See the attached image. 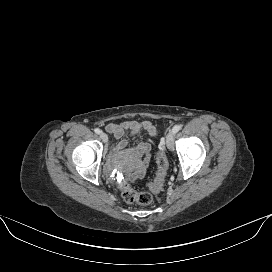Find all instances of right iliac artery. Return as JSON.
Returning a JSON list of instances; mask_svg holds the SVG:
<instances>
[{"instance_id": "82829eb1", "label": "right iliac artery", "mask_w": 272, "mask_h": 272, "mask_svg": "<svg viewBox=\"0 0 272 272\" xmlns=\"http://www.w3.org/2000/svg\"><path fill=\"white\" fill-rule=\"evenodd\" d=\"M94 131H95L96 134H100L101 133V130L98 129V128H96Z\"/></svg>"}]
</instances>
